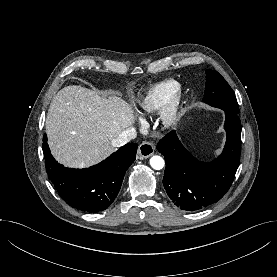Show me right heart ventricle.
<instances>
[{
  "mask_svg": "<svg viewBox=\"0 0 277 277\" xmlns=\"http://www.w3.org/2000/svg\"><path fill=\"white\" fill-rule=\"evenodd\" d=\"M176 87V82L167 80L154 85L137 103V111L143 116L157 112L166 103Z\"/></svg>",
  "mask_w": 277,
  "mask_h": 277,
  "instance_id": "obj_1",
  "label": "right heart ventricle"
}]
</instances>
